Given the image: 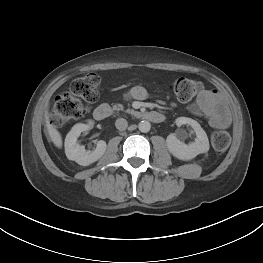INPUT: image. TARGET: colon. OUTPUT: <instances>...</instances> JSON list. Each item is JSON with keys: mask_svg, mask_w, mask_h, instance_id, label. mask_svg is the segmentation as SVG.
Wrapping results in <instances>:
<instances>
[{"mask_svg": "<svg viewBox=\"0 0 263 263\" xmlns=\"http://www.w3.org/2000/svg\"><path fill=\"white\" fill-rule=\"evenodd\" d=\"M100 79L96 74L75 79L69 89L55 97L50 114V121L55 126H63L78 119L84 112L82 100L93 103L98 99ZM170 88L181 102L192 100L202 89V84L191 78L181 77L174 80ZM231 142L229 133L225 130H216L211 136V143L215 150L224 151Z\"/></svg>", "mask_w": 263, "mask_h": 263, "instance_id": "5ec220e1", "label": "colon"}]
</instances>
